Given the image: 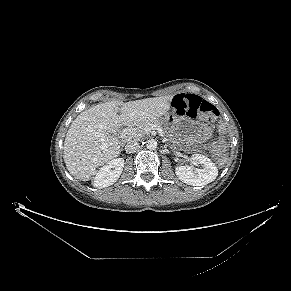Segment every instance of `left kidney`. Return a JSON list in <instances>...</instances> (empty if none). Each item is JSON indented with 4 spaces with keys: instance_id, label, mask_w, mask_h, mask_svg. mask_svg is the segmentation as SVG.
<instances>
[{
    "instance_id": "1",
    "label": "left kidney",
    "mask_w": 291,
    "mask_h": 291,
    "mask_svg": "<svg viewBox=\"0 0 291 291\" xmlns=\"http://www.w3.org/2000/svg\"><path fill=\"white\" fill-rule=\"evenodd\" d=\"M191 160L192 162L201 164L202 168L177 166L175 172L182 182L192 186H203L216 179L218 169L208 157L201 154H193Z\"/></svg>"
}]
</instances>
